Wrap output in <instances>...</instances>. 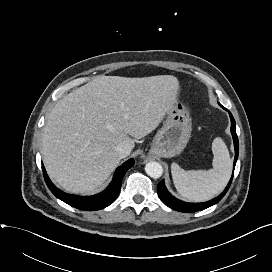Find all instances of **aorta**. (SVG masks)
<instances>
[{"label":"aorta","mask_w":272,"mask_h":272,"mask_svg":"<svg viewBox=\"0 0 272 272\" xmlns=\"http://www.w3.org/2000/svg\"><path fill=\"white\" fill-rule=\"evenodd\" d=\"M145 171L152 178H160L163 174V167L158 162H149L145 166Z\"/></svg>","instance_id":"aorta-1"}]
</instances>
